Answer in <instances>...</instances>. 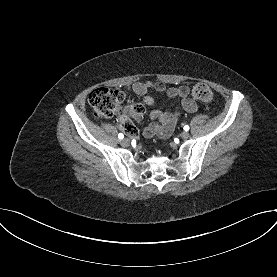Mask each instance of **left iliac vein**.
I'll return each mask as SVG.
<instances>
[{"label":"left iliac vein","mask_w":277,"mask_h":277,"mask_svg":"<svg viewBox=\"0 0 277 277\" xmlns=\"http://www.w3.org/2000/svg\"><path fill=\"white\" fill-rule=\"evenodd\" d=\"M189 136H190V134H189V132H187V131H183V132L181 133V138H182V139H188Z\"/></svg>","instance_id":"left-iliac-vein-1"}]
</instances>
